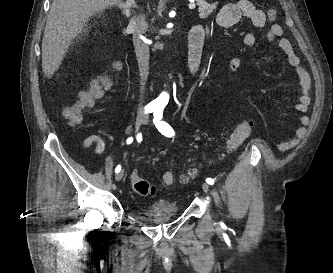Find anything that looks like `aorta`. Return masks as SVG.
<instances>
[{"instance_id": "1", "label": "aorta", "mask_w": 333, "mask_h": 273, "mask_svg": "<svg viewBox=\"0 0 333 273\" xmlns=\"http://www.w3.org/2000/svg\"><path fill=\"white\" fill-rule=\"evenodd\" d=\"M168 99V94L167 93H162L157 99L156 102L159 104H163L167 101Z\"/></svg>"}]
</instances>
